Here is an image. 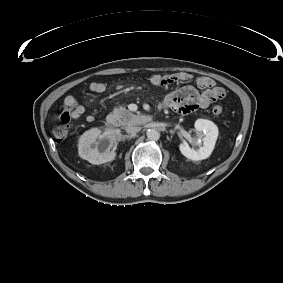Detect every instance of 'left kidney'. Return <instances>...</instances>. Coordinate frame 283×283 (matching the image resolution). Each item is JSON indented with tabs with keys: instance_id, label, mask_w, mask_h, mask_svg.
Returning a JSON list of instances; mask_svg holds the SVG:
<instances>
[{
	"instance_id": "5707ae66",
	"label": "left kidney",
	"mask_w": 283,
	"mask_h": 283,
	"mask_svg": "<svg viewBox=\"0 0 283 283\" xmlns=\"http://www.w3.org/2000/svg\"><path fill=\"white\" fill-rule=\"evenodd\" d=\"M198 136L203 137V146L198 150L190 148L186 141L179 145L180 152L188 159L199 161L208 158L218 138V127L210 120L197 119L194 124Z\"/></svg>"
}]
</instances>
